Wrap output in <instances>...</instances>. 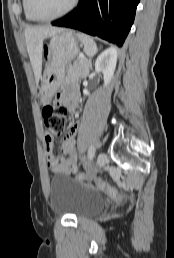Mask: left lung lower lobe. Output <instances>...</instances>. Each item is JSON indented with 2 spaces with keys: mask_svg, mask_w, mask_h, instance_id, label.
<instances>
[{
  "mask_svg": "<svg viewBox=\"0 0 174 258\" xmlns=\"http://www.w3.org/2000/svg\"><path fill=\"white\" fill-rule=\"evenodd\" d=\"M140 0H80L78 6L52 25L78 29L122 46Z\"/></svg>",
  "mask_w": 174,
  "mask_h": 258,
  "instance_id": "1",
  "label": "left lung lower lobe"
}]
</instances>
